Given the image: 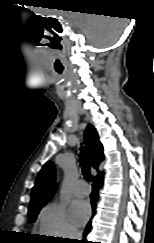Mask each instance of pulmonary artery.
<instances>
[{"label": "pulmonary artery", "mask_w": 154, "mask_h": 243, "mask_svg": "<svg viewBox=\"0 0 154 243\" xmlns=\"http://www.w3.org/2000/svg\"><path fill=\"white\" fill-rule=\"evenodd\" d=\"M88 192H89V189H88L85 181H83V180H80L76 184L74 191H73L74 195L79 196V197L87 195Z\"/></svg>", "instance_id": "pulmonary-artery-1"}]
</instances>
